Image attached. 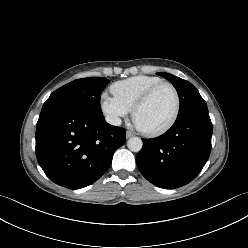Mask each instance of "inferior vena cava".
I'll return each mask as SVG.
<instances>
[{"instance_id": "inferior-vena-cava-1", "label": "inferior vena cava", "mask_w": 248, "mask_h": 248, "mask_svg": "<svg viewBox=\"0 0 248 248\" xmlns=\"http://www.w3.org/2000/svg\"><path fill=\"white\" fill-rule=\"evenodd\" d=\"M106 121L114 126H120L122 121L119 117L115 116V115H107L106 116Z\"/></svg>"}]
</instances>
